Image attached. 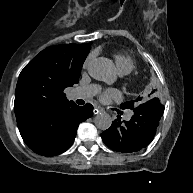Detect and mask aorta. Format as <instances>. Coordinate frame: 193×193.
Masks as SVG:
<instances>
[{"mask_svg":"<svg viewBox=\"0 0 193 193\" xmlns=\"http://www.w3.org/2000/svg\"><path fill=\"white\" fill-rule=\"evenodd\" d=\"M89 74L96 80L111 84L116 76L113 71V65L105 58L91 62L88 66ZM95 126L100 130H107L112 125V118L107 113H100L94 119Z\"/></svg>","mask_w":193,"mask_h":193,"instance_id":"aorta-1","label":"aorta"}]
</instances>
